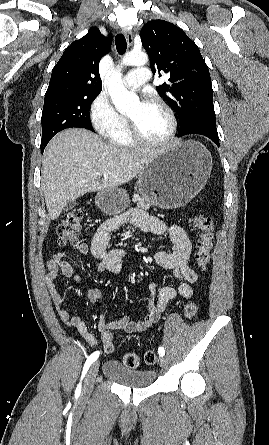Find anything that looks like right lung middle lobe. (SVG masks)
Listing matches in <instances>:
<instances>
[{
  "label": "right lung middle lobe",
  "mask_w": 269,
  "mask_h": 445,
  "mask_svg": "<svg viewBox=\"0 0 269 445\" xmlns=\"http://www.w3.org/2000/svg\"><path fill=\"white\" fill-rule=\"evenodd\" d=\"M99 93L45 94L42 111L41 151L59 131L81 127L94 131L89 120V109Z\"/></svg>",
  "instance_id": "1"
}]
</instances>
